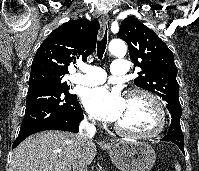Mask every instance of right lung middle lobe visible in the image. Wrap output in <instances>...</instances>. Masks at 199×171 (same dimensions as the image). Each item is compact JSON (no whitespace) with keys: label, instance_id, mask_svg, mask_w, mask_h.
I'll list each match as a JSON object with an SVG mask.
<instances>
[{"label":"right lung middle lobe","instance_id":"dd1d6c3e","mask_svg":"<svg viewBox=\"0 0 199 171\" xmlns=\"http://www.w3.org/2000/svg\"><path fill=\"white\" fill-rule=\"evenodd\" d=\"M36 82H49L59 87L65 93H69L68 92L69 86L67 85L66 82L63 81V77L46 75V74L30 76L29 84H33Z\"/></svg>","mask_w":199,"mask_h":171}]
</instances>
